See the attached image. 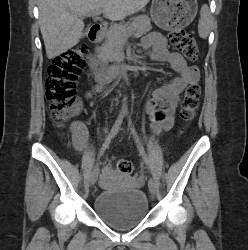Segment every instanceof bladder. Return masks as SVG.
<instances>
[{
	"label": "bladder",
	"mask_w": 248,
	"mask_h": 250,
	"mask_svg": "<svg viewBox=\"0 0 248 250\" xmlns=\"http://www.w3.org/2000/svg\"><path fill=\"white\" fill-rule=\"evenodd\" d=\"M94 211L112 228L128 230L145 219L149 202L144 192L139 189H108L96 197Z\"/></svg>",
	"instance_id": "bladder-1"
}]
</instances>
